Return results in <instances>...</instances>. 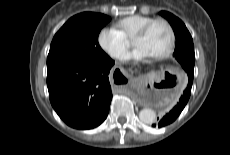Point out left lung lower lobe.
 <instances>
[{
  "mask_svg": "<svg viewBox=\"0 0 230 155\" xmlns=\"http://www.w3.org/2000/svg\"><path fill=\"white\" fill-rule=\"evenodd\" d=\"M185 68L187 70V75L189 77L188 84L184 91L182 92L181 97L179 98L178 103L173 107V109L167 113L160 121L158 124H153V127H163L166 126L170 123H172L182 112L184 109L185 105L187 104L190 94H191V88H192V83H193V69L189 65H185Z\"/></svg>",
  "mask_w": 230,
  "mask_h": 155,
  "instance_id": "obj_1",
  "label": "left lung lower lobe"
}]
</instances>
